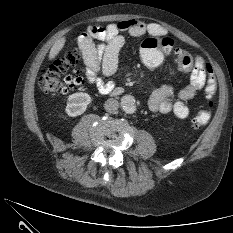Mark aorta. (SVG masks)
I'll list each match as a JSON object with an SVG mask.
<instances>
[{"instance_id": "obj_1", "label": "aorta", "mask_w": 233, "mask_h": 233, "mask_svg": "<svg viewBox=\"0 0 233 233\" xmlns=\"http://www.w3.org/2000/svg\"><path fill=\"white\" fill-rule=\"evenodd\" d=\"M121 106L126 113H134L136 111L135 98L132 95L123 96L121 98Z\"/></svg>"}]
</instances>
